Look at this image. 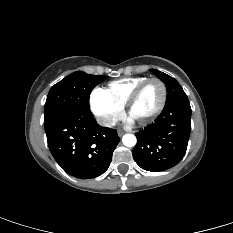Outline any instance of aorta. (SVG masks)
I'll return each mask as SVG.
<instances>
[{"label": "aorta", "instance_id": "obj_1", "mask_svg": "<svg viewBox=\"0 0 233 233\" xmlns=\"http://www.w3.org/2000/svg\"><path fill=\"white\" fill-rule=\"evenodd\" d=\"M122 142L127 147H133L136 145L137 139H136L135 135H133V134H125L122 137Z\"/></svg>", "mask_w": 233, "mask_h": 233}]
</instances>
